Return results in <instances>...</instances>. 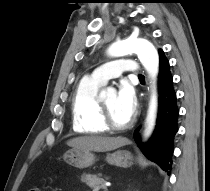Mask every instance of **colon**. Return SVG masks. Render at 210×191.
I'll return each mask as SVG.
<instances>
[{
	"mask_svg": "<svg viewBox=\"0 0 210 191\" xmlns=\"http://www.w3.org/2000/svg\"><path fill=\"white\" fill-rule=\"evenodd\" d=\"M29 191H43V190L41 188L36 187V188L30 189Z\"/></svg>",
	"mask_w": 210,
	"mask_h": 191,
	"instance_id": "1",
	"label": "colon"
}]
</instances>
